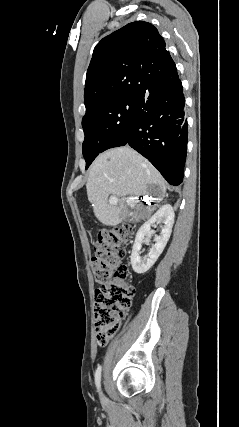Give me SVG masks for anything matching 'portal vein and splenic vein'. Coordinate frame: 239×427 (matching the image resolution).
<instances>
[{"label": "portal vein and splenic vein", "instance_id": "18ae733b", "mask_svg": "<svg viewBox=\"0 0 239 427\" xmlns=\"http://www.w3.org/2000/svg\"><path fill=\"white\" fill-rule=\"evenodd\" d=\"M135 201V198H133V197H129V198H127V200H126V202L128 203V204H131V203H133ZM109 203L110 204H117L118 203V198L117 197H110L109 198Z\"/></svg>", "mask_w": 239, "mask_h": 427}]
</instances>
